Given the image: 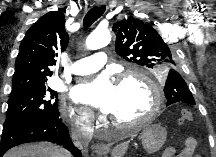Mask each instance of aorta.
<instances>
[{"label":"aorta","mask_w":216,"mask_h":157,"mask_svg":"<svg viewBox=\"0 0 216 157\" xmlns=\"http://www.w3.org/2000/svg\"><path fill=\"white\" fill-rule=\"evenodd\" d=\"M111 40L110 32L107 29H96L86 39V46L90 50H97L105 47Z\"/></svg>","instance_id":"1"}]
</instances>
